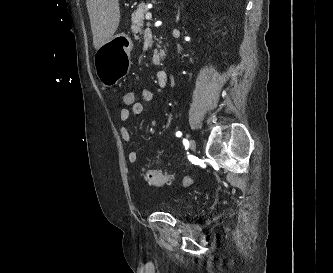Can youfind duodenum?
Here are the masks:
<instances>
[{
    "instance_id": "obj_1",
    "label": "duodenum",
    "mask_w": 333,
    "mask_h": 273,
    "mask_svg": "<svg viewBox=\"0 0 333 273\" xmlns=\"http://www.w3.org/2000/svg\"><path fill=\"white\" fill-rule=\"evenodd\" d=\"M169 74L166 70H160L157 73V83L160 87H165L168 83Z\"/></svg>"
}]
</instances>
